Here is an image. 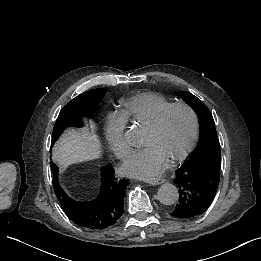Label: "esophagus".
Here are the masks:
<instances>
[{
    "instance_id": "obj_1",
    "label": "esophagus",
    "mask_w": 261,
    "mask_h": 261,
    "mask_svg": "<svg viewBox=\"0 0 261 261\" xmlns=\"http://www.w3.org/2000/svg\"><path fill=\"white\" fill-rule=\"evenodd\" d=\"M148 184L157 185L162 184L164 182V179L162 178H149L145 180Z\"/></svg>"
}]
</instances>
